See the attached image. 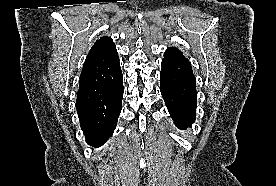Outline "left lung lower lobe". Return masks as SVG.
<instances>
[{
	"label": "left lung lower lobe",
	"mask_w": 276,
	"mask_h": 186,
	"mask_svg": "<svg viewBox=\"0 0 276 186\" xmlns=\"http://www.w3.org/2000/svg\"><path fill=\"white\" fill-rule=\"evenodd\" d=\"M160 91L169 113L179 129L190 127L195 120L196 80L190 63L163 59Z\"/></svg>",
	"instance_id": "left-lung-lower-lobe-1"
}]
</instances>
